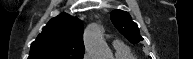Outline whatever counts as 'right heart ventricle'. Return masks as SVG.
<instances>
[{
  "label": "right heart ventricle",
  "mask_w": 193,
  "mask_h": 59,
  "mask_svg": "<svg viewBox=\"0 0 193 59\" xmlns=\"http://www.w3.org/2000/svg\"><path fill=\"white\" fill-rule=\"evenodd\" d=\"M115 59H136V57L129 48L125 47L115 49Z\"/></svg>",
  "instance_id": "1"
}]
</instances>
